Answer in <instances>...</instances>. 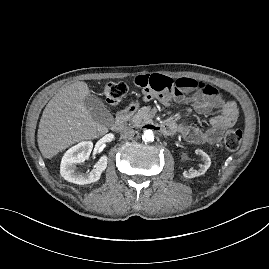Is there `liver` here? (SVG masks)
I'll return each instance as SVG.
<instances>
[{
	"label": "liver",
	"instance_id": "1",
	"mask_svg": "<svg viewBox=\"0 0 269 269\" xmlns=\"http://www.w3.org/2000/svg\"><path fill=\"white\" fill-rule=\"evenodd\" d=\"M85 82L62 88L46 105L39 123L38 146L44 158H52L69 146L99 138L108 127L95 121L84 100L89 95Z\"/></svg>",
	"mask_w": 269,
	"mask_h": 269
}]
</instances>
